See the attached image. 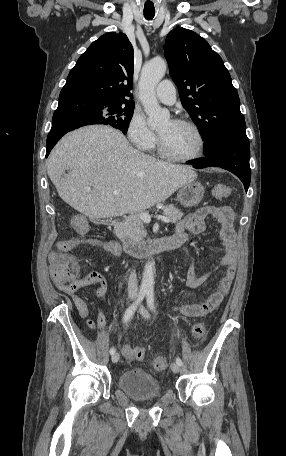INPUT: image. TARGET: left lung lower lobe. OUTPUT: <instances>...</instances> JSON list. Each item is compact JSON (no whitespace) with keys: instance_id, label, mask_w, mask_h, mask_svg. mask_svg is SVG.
<instances>
[{"instance_id":"left-lung-lower-lobe-1","label":"left lung lower lobe","mask_w":286,"mask_h":456,"mask_svg":"<svg viewBox=\"0 0 286 456\" xmlns=\"http://www.w3.org/2000/svg\"><path fill=\"white\" fill-rule=\"evenodd\" d=\"M206 158L192 162L194 168L217 166L235 174L244 184L247 192L251 170L249 165L250 145L248 139L235 137L222 138L203 148Z\"/></svg>"}]
</instances>
